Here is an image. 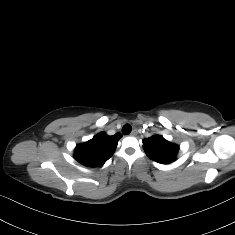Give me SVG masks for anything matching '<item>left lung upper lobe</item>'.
<instances>
[{"mask_svg": "<svg viewBox=\"0 0 235 235\" xmlns=\"http://www.w3.org/2000/svg\"><path fill=\"white\" fill-rule=\"evenodd\" d=\"M143 148L146 155L156 162L169 164L173 162L179 150V146L173 144L160 135H153L143 140Z\"/></svg>", "mask_w": 235, "mask_h": 235, "instance_id": "left-lung-upper-lobe-1", "label": "left lung upper lobe"}]
</instances>
